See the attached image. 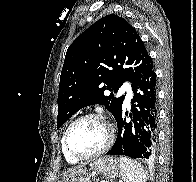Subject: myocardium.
Wrapping results in <instances>:
<instances>
[{
  "instance_id": "myocardium-1",
  "label": "myocardium",
  "mask_w": 196,
  "mask_h": 182,
  "mask_svg": "<svg viewBox=\"0 0 196 182\" xmlns=\"http://www.w3.org/2000/svg\"><path fill=\"white\" fill-rule=\"evenodd\" d=\"M86 119H96L99 120L104 128H105V132H106V137H105V141L104 144L101 146V148H99L97 151L88 154V155H80L77 154L75 152H73L70 149L69 146V136L70 133L72 131V129L81 121L86 120ZM114 140V132H113V127L110 123V121L101 113L98 112H89L86 114H83L81 116H79L78 118H76L73 122L70 123V125L67 127L64 137H63V147L65 152L72 158L76 159V160H90L93 158H96L102 154H104L112 145Z\"/></svg>"
}]
</instances>
